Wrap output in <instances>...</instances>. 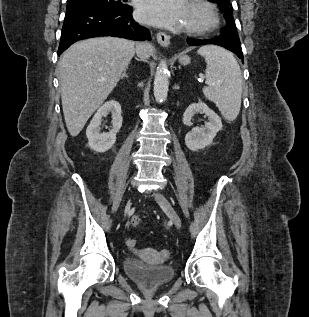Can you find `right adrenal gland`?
<instances>
[{"instance_id": "1", "label": "right adrenal gland", "mask_w": 309, "mask_h": 317, "mask_svg": "<svg viewBox=\"0 0 309 317\" xmlns=\"http://www.w3.org/2000/svg\"><path fill=\"white\" fill-rule=\"evenodd\" d=\"M126 71H127L126 69L123 71V73H122L120 79L128 78V75H127Z\"/></svg>"}]
</instances>
